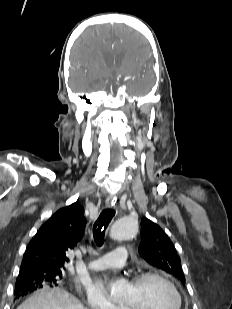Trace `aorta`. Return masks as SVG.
I'll return each instance as SVG.
<instances>
[{"label":"aorta","mask_w":232,"mask_h":309,"mask_svg":"<svg viewBox=\"0 0 232 309\" xmlns=\"http://www.w3.org/2000/svg\"><path fill=\"white\" fill-rule=\"evenodd\" d=\"M137 231L138 224L135 220L130 218H121L113 224L111 237L114 240L122 241L134 237L137 234ZM126 286L127 284L125 280L111 282V299L115 302L123 300Z\"/></svg>","instance_id":"762f6f07"}]
</instances>
